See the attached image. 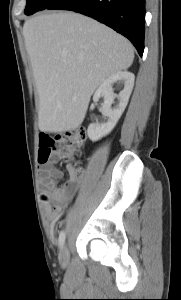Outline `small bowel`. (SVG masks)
I'll list each match as a JSON object with an SVG mask.
<instances>
[{"label": "small bowel", "mask_w": 181, "mask_h": 300, "mask_svg": "<svg viewBox=\"0 0 181 300\" xmlns=\"http://www.w3.org/2000/svg\"><path fill=\"white\" fill-rule=\"evenodd\" d=\"M54 160L45 161L40 168L39 185L42 190L41 200L48 220L55 224L59 221L63 210L80 187V178L71 176L61 185L58 181L63 172L54 166Z\"/></svg>", "instance_id": "1"}]
</instances>
